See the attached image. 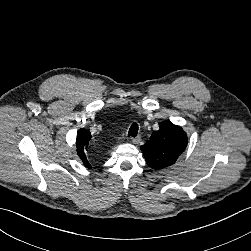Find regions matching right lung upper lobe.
Masks as SVG:
<instances>
[{"mask_svg": "<svg viewBox=\"0 0 251 251\" xmlns=\"http://www.w3.org/2000/svg\"><path fill=\"white\" fill-rule=\"evenodd\" d=\"M91 139V134L88 130L81 128L77 134L76 138V147L77 153L80 159L82 160L84 166L91 168V165L86 157V148Z\"/></svg>", "mask_w": 251, "mask_h": 251, "instance_id": "right-lung-upper-lobe-1", "label": "right lung upper lobe"}]
</instances>
